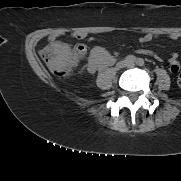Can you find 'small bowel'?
I'll list each match as a JSON object with an SVG mask.
<instances>
[{
  "label": "small bowel",
  "instance_id": "1",
  "mask_svg": "<svg viewBox=\"0 0 181 181\" xmlns=\"http://www.w3.org/2000/svg\"><path fill=\"white\" fill-rule=\"evenodd\" d=\"M74 37L78 38V39H83V38L86 37V34H84V33H75ZM157 37H158L157 34L148 33V34H145V35L139 37L138 41L140 43H148V42L152 41L153 39H155ZM168 37L170 39H172V40H176V39L181 37V34L173 32V33H170L168 35ZM48 40H49L50 45H52V46H55V47H58V48H69V46L66 43H63V42L59 41L57 39L56 35H50ZM136 52L138 54L149 55V56H153L156 59H159V56L157 54H155L151 50L139 49ZM169 65H170V71L173 74H176V73H178L180 71L181 66H180V63L178 61V54L177 53L172 54L171 58L169 59ZM95 69H96V66L93 63H90L89 64V70L94 71Z\"/></svg>",
  "mask_w": 181,
  "mask_h": 181
}]
</instances>
